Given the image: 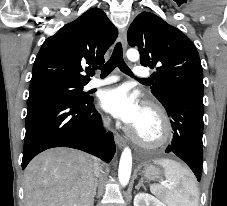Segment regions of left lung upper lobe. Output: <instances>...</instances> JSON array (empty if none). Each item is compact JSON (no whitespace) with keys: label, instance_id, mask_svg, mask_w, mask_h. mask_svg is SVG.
<instances>
[{"label":"left lung upper lobe","instance_id":"5c2ea615","mask_svg":"<svg viewBox=\"0 0 227 206\" xmlns=\"http://www.w3.org/2000/svg\"><path fill=\"white\" fill-rule=\"evenodd\" d=\"M130 46H137L142 66L156 67L152 94L163 104L177 95L203 98V72L192 41L159 16L142 12L127 33Z\"/></svg>","mask_w":227,"mask_h":206}]
</instances>
